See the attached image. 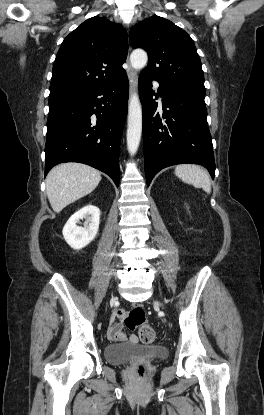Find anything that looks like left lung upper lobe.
Returning <instances> with one entry per match:
<instances>
[{
    "instance_id": "1",
    "label": "left lung upper lobe",
    "mask_w": 264,
    "mask_h": 415,
    "mask_svg": "<svg viewBox=\"0 0 264 415\" xmlns=\"http://www.w3.org/2000/svg\"><path fill=\"white\" fill-rule=\"evenodd\" d=\"M133 48L148 53V66L141 74L160 83L204 87L201 61L191 37L171 21L152 16L133 26L129 33Z\"/></svg>"
}]
</instances>
